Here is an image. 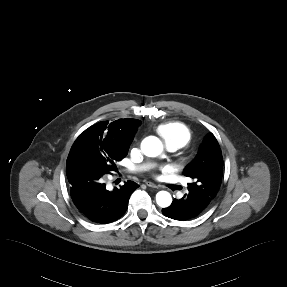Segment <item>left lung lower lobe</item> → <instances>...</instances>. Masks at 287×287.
Wrapping results in <instances>:
<instances>
[{
  "label": "left lung lower lobe",
  "instance_id": "0a47b994",
  "mask_svg": "<svg viewBox=\"0 0 287 287\" xmlns=\"http://www.w3.org/2000/svg\"><path fill=\"white\" fill-rule=\"evenodd\" d=\"M208 205L188 194L179 200L174 199L169 207L162 209V213L171 219L185 221L200 215Z\"/></svg>",
  "mask_w": 287,
  "mask_h": 287
}]
</instances>
